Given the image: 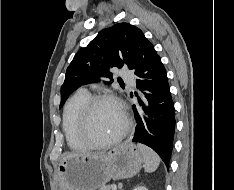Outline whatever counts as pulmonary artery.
<instances>
[{
	"mask_svg": "<svg viewBox=\"0 0 234 190\" xmlns=\"http://www.w3.org/2000/svg\"><path fill=\"white\" fill-rule=\"evenodd\" d=\"M121 76H122L123 78H125V79L129 82L130 85H133V84H134L133 79L131 78V76L128 75V73H127L126 70H124V69L121 70Z\"/></svg>",
	"mask_w": 234,
	"mask_h": 190,
	"instance_id": "pulmonary-artery-1",
	"label": "pulmonary artery"
}]
</instances>
